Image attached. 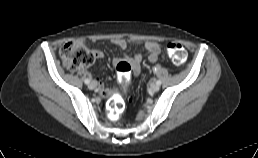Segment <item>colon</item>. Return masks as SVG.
I'll list each match as a JSON object with an SVG mask.
<instances>
[{
  "mask_svg": "<svg viewBox=\"0 0 258 158\" xmlns=\"http://www.w3.org/2000/svg\"><path fill=\"white\" fill-rule=\"evenodd\" d=\"M166 52L177 66L185 63L187 51L185 47L175 41L166 44ZM60 57L67 69L75 70L79 67L90 66L95 62L96 56L87 49L86 45L79 40H71L66 42L60 49ZM131 66L127 61H119L116 64V80L119 84H126L131 75ZM108 114L112 120L120 117L124 110V101L120 95L112 96L107 104Z\"/></svg>",
  "mask_w": 258,
  "mask_h": 158,
  "instance_id": "obj_1",
  "label": "colon"
}]
</instances>
